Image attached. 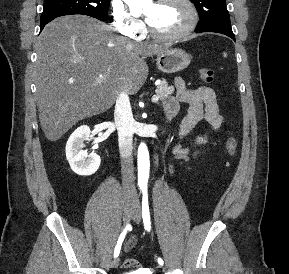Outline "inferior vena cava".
Listing matches in <instances>:
<instances>
[{"label":"inferior vena cava","mask_w":289,"mask_h":274,"mask_svg":"<svg viewBox=\"0 0 289 274\" xmlns=\"http://www.w3.org/2000/svg\"><path fill=\"white\" fill-rule=\"evenodd\" d=\"M114 119L118 130L123 193L124 195L135 194L132 156L134 119L126 91L120 92L116 99Z\"/></svg>","instance_id":"1"}]
</instances>
